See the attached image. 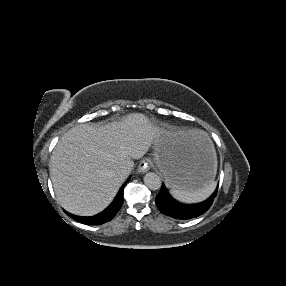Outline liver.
<instances>
[{
  "label": "liver",
  "instance_id": "1",
  "mask_svg": "<svg viewBox=\"0 0 286 286\" xmlns=\"http://www.w3.org/2000/svg\"><path fill=\"white\" fill-rule=\"evenodd\" d=\"M174 148L187 139L207 136L200 130L164 132L140 113L96 128L81 124L68 130L50 158V178L58 202L67 211L90 216L102 211L115 197L125 178L116 173L124 163L133 168L162 135Z\"/></svg>",
  "mask_w": 286,
  "mask_h": 286
}]
</instances>
